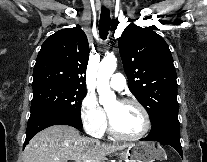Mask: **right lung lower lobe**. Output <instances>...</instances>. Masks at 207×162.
I'll use <instances>...</instances> for the list:
<instances>
[{
    "label": "right lung lower lobe",
    "instance_id": "obj_1",
    "mask_svg": "<svg viewBox=\"0 0 207 162\" xmlns=\"http://www.w3.org/2000/svg\"><path fill=\"white\" fill-rule=\"evenodd\" d=\"M53 125H69L79 129L82 127V122L81 119L56 109L33 111L28 120L24 147L36 133Z\"/></svg>",
    "mask_w": 207,
    "mask_h": 162
}]
</instances>
